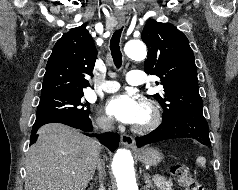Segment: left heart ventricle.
Listing matches in <instances>:
<instances>
[{
	"label": "left heart ventricle",
	"instance_id": "obj_1",
	"mask_svg": "<svg viewBox=\"0 0 238 190\" xmlns=\"http://www.w3.org/2000/svg\"><path fill=\"white\" fill-rule=\"evenodd\" d=\"M147 119H148V112L146 111V109L143 106H140L139 115H138V118L134 124L144 123L147 121Z\"/></svg>",
	"mask_w": 238,
	"mask_h": 190
}]
</instances>
